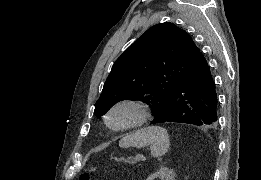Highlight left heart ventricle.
I'll return each instance as SVG.
<instances>
[{"instance_id":"obj_1","label":"left heart ventricle","mask_w":261,"mask_h":180,"mask_svg":"<svg viewBox=\"0 0 261 180\" xmlns=\"http://www.w3.org/2000/svg\"><path fill=\"white\" fill-rule=\"evenodd\" d=\"M129 116V111L128 110H121L116 114V120L117 121H123Z\"/></svg>"}]
</instances>
